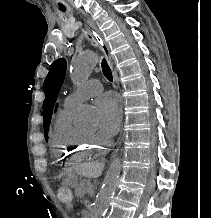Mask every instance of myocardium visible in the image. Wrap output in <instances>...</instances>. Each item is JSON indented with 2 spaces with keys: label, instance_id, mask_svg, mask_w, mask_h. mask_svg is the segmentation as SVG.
<instances>
[{
  "label": "myocardium",
  "instance_id": "f54148a6",
  "mask_svg": "<svg viewBox=\"0 0 211 218\" xmlns=\"http://www.w3.org/2000/svg\"><path fill=\"white\" fill-rule=\"evenodd\" d=\"M89 139H93V136L91 135H86Z\"/></svg>",
  "mask_w": 211,
  "mask_h": 218
}]
</instances>
